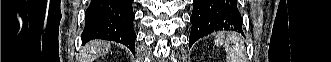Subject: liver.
Masks as SVG:
<instances>
[{
    "mask_svg": "<svg viewBox=\"0 0 331 62\" xmlns=\"http://www.w3.org/2000/svg\"><path fill=\"white\" fill-rule=\"evenodd\" d=\"M110 43L104 41H91L84 47V62H93L97 57L108 52Z\"/></svg>",
    "mask_w": 331,
    "mask_h": 62,
    "instance_id": "6515ba94",
    "label": "liver"
}]
</instances>
